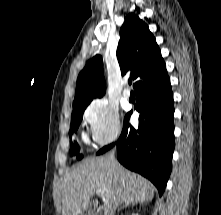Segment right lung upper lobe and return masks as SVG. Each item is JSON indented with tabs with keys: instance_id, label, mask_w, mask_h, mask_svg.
I'll list each match as a JSON object with an SVG mask.
<instances>
[{
	"instance_id": "1",
	"label": "right lung upper lobe",
	"mask_w": 221,
	"mask_h": 215,
	"mask_svg": "<svg viewBox=\"0 0 221 215\" xmlns=\"http://www.w3.org/2000/svg\"><path fill=\"white\" fill-rule=\"evenodd\" d=\"M116 54L122 76L129 74L135 80L134 89L166 70L155 37L147 24L135 14L125 17ZM105 91L102 57L95 55L77 78L73 105L90 103L94 98L102 97Z\"/></svg>"
}]
</instances>
